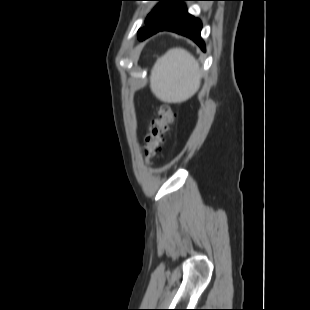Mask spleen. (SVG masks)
Segmentation results:
<instances>
[{
  "instance_id": "spleen-1",
  "label": "spleen",
  "mask_w": 310,
  "mask_h": 310,
  "mask_svg": "<svg viewBox=\"0 0 310 310\" xmlns=\"http://www.w3.org/2000/svg\"><path fill=\"white\" fill-rule=\"evenodd\" d=\"M199 78V67L193 56L184 49L174 48L157 60L151 89L164 102L181 103L196 92Z\"/></svg>"
}]
</instances>
